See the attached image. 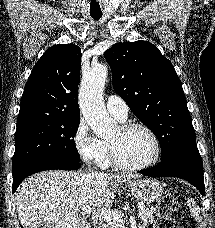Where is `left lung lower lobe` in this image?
Here are the masks:
<instances>
[{
    "instance_id": "obj_1",
    "label": "left lung lower lobe",
    "mask_w": 215,
    "mask_h": 228,
    "mask_svg": "<svg viewBox=\"0 0 215 228\" xmlns=\"http://www.w3.org/2000/svg\"><path fill=\"white\" fill-rule=\"evenodd\" d=\"M138 173L151 177H178L197 187L204 196L202 159L196 143L188 144L163 158L156 166Z\"/></svg>"
}]
</instances>
